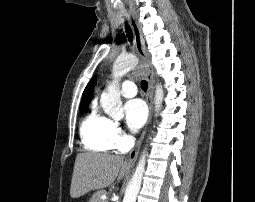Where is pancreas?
<instances>
[{
  "label": "pancreas",
  "instance_id": "obj_1",
  "mask_svg": "<svg viewBox=\"0 0 255 202\" xmlns=\"http://www.w3.org/2000/svg\"><path fill=\"white\" fill-rule=\"evenodd\" d=\"M105 194H107V192H106L105 190L96 191V192L92 195V197H91V199H90L89 202H104V201H102L101 196H102V195H105Z\"/></svg>",
  "mask_w": 255,
  "mask_h": 202
}]
</instances>
